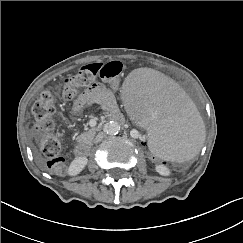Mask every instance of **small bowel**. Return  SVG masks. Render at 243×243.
Segmentation results:
<instances>
[{"label": "small bowel", "instance_id": "obj_1", "mask_svg": "<svg viewBox=\"0 0 243 243\" xmlns=\"http://www.w3.org/2000/svg\"><path fill=\"white\" fill-rule=\"evenodd\" d=\"M94 104L101 105L104 109L113 111L116 109L114 94L102 84H94L86 89L73 103V110L80 112Z\"/></svg>", "mask_w": 243, "mask_h": 243}]
</instances>
